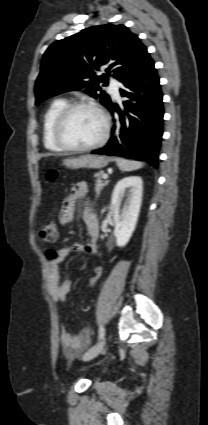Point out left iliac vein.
Listing matches in <instances>:
<instances>
[{"instance_id":"4c4485c4","label":"left iliac vein","mask_w":208,"mask_h":425,"mask_svg":"<svg viewBox=\"0 0 208 425\" xmlns=\"http://www.w3.org/2000/svg\"><path fill=\"white\" fill-rule=\"evenodd\" d=\"M106 343V339L105 337L101 338L100 341L94 345L92 348H90L84 355H83V360L84 361H89L91 359H94L96 356H98L102 350L104 349Z\"/></svg>"}]
</instances>
